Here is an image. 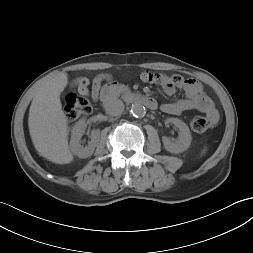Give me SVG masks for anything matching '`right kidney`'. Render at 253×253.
Wrapping results in <instances>:
<instances>
[{
  "instance_id": "1",
  "label": "right kidney",
  "mask_w": 253,
  "mask_h": 253,
  "mask_svg": "<svg viewBox=\"0 0 253 253\" xmlns=\"http://www.w3.org/2000/svg\"><path fill=\"white\" fill-rule=\"evenodd\" d=\"M85 129H86L85 120H80L72 128L71 133V141H70L71 152L80 158L90 157L93 154L95 147L97 146L100 139V130H93L90 135L91 141L88 143V146L85 147L82 146L80 144V139L85 133Z\"/></svg>"
}]
</instances>
